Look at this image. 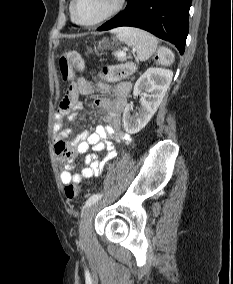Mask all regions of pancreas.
<instances>
[{"mask_svg":"<svg viewBox=\"0 0 233 284\" xmlns=\"http://www.w3.org/2000/svg\"><path fill=\"white\" fill-rule=\"evenodd\" d=\"M114 55L117 56V53H114ZM130 65H131L132 69H135L134 65H132V64H130ZM130 71H132V70H130Z\"/></svg>","mask_w":233,"mask_h":284,"instance_id":"obj_1","label":"pancreas"}]
</instances>
